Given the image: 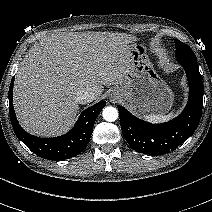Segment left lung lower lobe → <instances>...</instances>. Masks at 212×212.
<instances>
[{
  "instance_id": "left-lung-lower-lobe-1",
  "label": "left lung lower lobe",
  "mask_w": 212,
  "mask_h": 212,
  "mask_svg": "<svg viewBox=\"0 0 212 212\" xmlns=\"http://www.w3.org/2000/svg\"><path fill=\"white\" fill-rule=\"evenodd\" d=\"M185 69L189 83V99L183 112L163 124L140 120L122 106H118L122 133L128 144L137 152L162 155L175 150L196 130L203 108V83L197 59L177 58Z\"/></svg>"
}]
</instances>
